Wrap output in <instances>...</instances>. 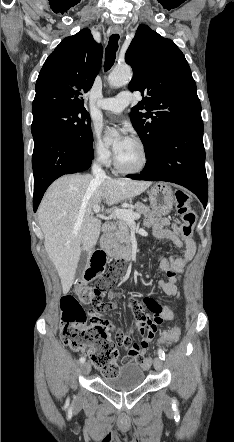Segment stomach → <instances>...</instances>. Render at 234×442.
<instances>
[{
  "label": "stomach",
  "instance_id": "obj_1",
  "mask_svg": "<svg viewBox=\"0 0 234 442\" xmlns=\"http://www.w3.org/2000/svg\"><path fill=\"white\" fill-rule=\"evenodd\" d=\"M149 200L156 212L167 215L174 205L173 190L165 183H156L149 191Z\"/></svg>",
  "mask_w": 234,
  "mask_h": 442
}]
</instances>
